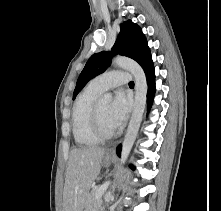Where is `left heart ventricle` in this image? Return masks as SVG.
I'll use <instances>...</instances> for the list:
<instances>
[{
	"instance_id": "b2bd125f",
	"label": "left heart ventricle",
	"mask_w": 221,
	"mask_h": 211,
	"mask_svg": "<svg viewBox=\"0 0 221 211\" xmlns=\"http://www.w3.org/2000/svg\"><path fill=\"white\" fill-rule=\"evenodd\" d=\"M109 107H110V104L108 102L98 103L101 123L107 132H112V131H115L116 129L112 125L110 118H109Z\"/></svg>"
}]
</instances>
